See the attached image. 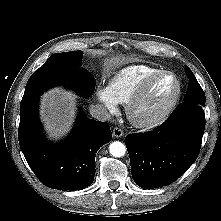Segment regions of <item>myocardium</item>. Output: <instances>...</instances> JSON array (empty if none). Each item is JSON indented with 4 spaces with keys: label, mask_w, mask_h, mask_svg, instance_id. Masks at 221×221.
Returning <instances> with one entry per match:
<instances>
[{
    "label": "myocardium",
    "mask_w": 221,
    "mask_h": 221,
    "mask_svg": "<svg viewBox=\"0 0 221 221\" xmlns=\"http://www.w3.org/2000/svg\"><path fill=\"white\" fill-rule=\"evenodd\" d=\"M163 76H171L174 79L176 83L174 95L172 96L170 101L155 115L148 118H139L136 114L138 105L144 98L151 84ZM181 90L182 86L179 78L171 71L161 70L147 77L145 80L142 81V83L139 85L131 99L126 104V115L128 120L133 126L140 129H148L157 126L158 124L163 122L173 111L180 99Z\"/></svg>",
    "instance_id": "myocardium-1"
}]
</instances>
